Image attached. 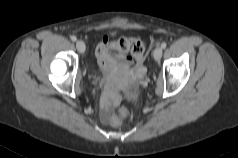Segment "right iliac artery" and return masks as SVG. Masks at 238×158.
<instances>
[{
	"label": "right iliac artery",
	"mask_w": 238,
	"mask_h": 158,
	"mask_svg": "<svg viewBox=\"0 0 238 158\" xmlns=\"http://www.w3.org/2000/svg\"><path fill=\"white\" fill-rule=\"evenodd\" d=\"M71 40L75 42L77 40L76 36H71Z\"/></svg>",
	"instance_id": "obj_1"
}]
</instances>
